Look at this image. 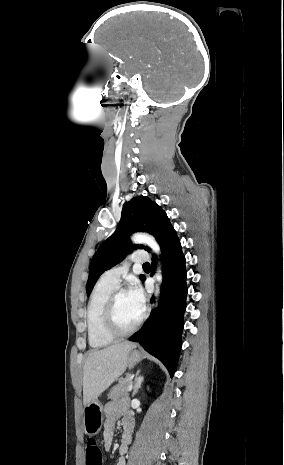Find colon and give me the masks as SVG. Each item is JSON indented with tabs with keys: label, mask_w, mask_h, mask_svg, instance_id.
<instances>
[{
	"label": "colon",
	"mask_w": 284,
	"mask_h": 465,
	"mask_svg": "<svg viewBox=\"0 0 284 465\" xmlns=\"http://www.w3.org/2000/svg\"><path fill=\"white\" fill-rule=\"evenodd\" d=\"M86 465H101V453L98 446H85Z\"/></svg>",
	"instance_id": "5ec220e1"
}]
</instances>
